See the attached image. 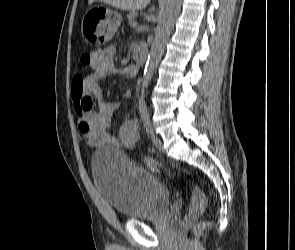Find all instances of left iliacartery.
Segmentation results:
<instances>
[{"mask_svg": "<svg viewBox=\"0 0 295 250\" xmlns=\"http://www.w3.org/2000/svg\"><path fill=\"white\" fill-rule=\"evenodd\" d=\"M140 115L146 132L148 134H151V120L149 110L145 105L140 107Z\"/></svg>", "mask_w": 295, "mask_h": 250, "instance_id": "44dca946", "label": "left iliac artery"}]
</instances>
